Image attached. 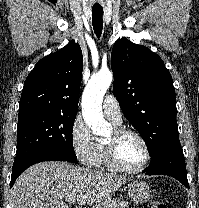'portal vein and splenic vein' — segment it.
Instances as JSON below:
<instances>
[{"instance_id":"18ae733b","label":"portal vein and splenic vein","mask_w":199,"mask_h":208,"mask_svg":"<svg viewBox=\"0 0 199 208\" xmlns=\"http://www.w3.org/2000/svg\"><path fill=\"white\" fill-rule=\"evenodd\" d=\"M67 200L69 203H73L75 202V197H69Z\"/></svg>"}]
</instances>
